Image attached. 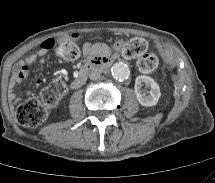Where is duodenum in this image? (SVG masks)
I'll use <instances>...</instances> for the list:
<instances>
[{
	"instance_id": "duodenum-1",
	"label": "duodenum",
	"mask_w": 215,
	"mask_h": 183,
	"mask_svg": "<svg viewBox=\"0 0 215 183\" xmlns=\"http://www.w3.org/2000/svg\"><path fill=\"white\" fill-rule=\"evenodd\" d=\"M111 63V59L108 57H98L85 63L83 67L78 71L75 79L70 83L72 89L78 88L86 80L87 75L95 70L107 68Z\"/></svg>"
}]
</instances>
